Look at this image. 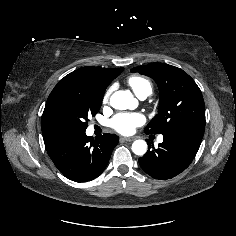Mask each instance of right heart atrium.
Masks as SVG:
<instances>
[{"label": "right heart atrium", "instance_id": "d8ad5b80", "mask_svg": "<svg viewBox=\"0 0 236 236\" xmlns=\"http://www.w3.org/2000/svg\"><path fill=\"white\" fill-rule=\"evenodd\" d=\"M110 90H108L105 94H104V96H103V102L104 103H107L108 102V100H109V96H110Z\"/></svg>", "mask_w": 236, "mask_h": 236}]
</instances>
